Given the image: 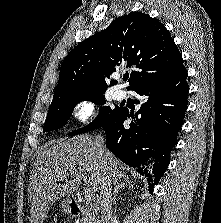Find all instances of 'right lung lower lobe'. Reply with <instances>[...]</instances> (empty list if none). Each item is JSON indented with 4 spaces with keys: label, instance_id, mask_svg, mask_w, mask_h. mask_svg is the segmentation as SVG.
Wrapping results in <instances>:
<instances>
[{
    "label": "right lung lower lobe",
    "instance_id": "98d812e1",
    "mask_svg": "<svg viewBox=\"0 0 221 223\" xmlns=\"http://www.w3.org/2000/svg\"><path fill=\"white\" fill-rule=\"evenodd\" d=\"M141 97L137 113L120 110L102 128L107 148L120 160L148 176L150 190L167 170L170 151L187 110V70L162 80L140 84L132 89ZM129 126H124L126 119ZM154 182V183H153Z\"/></svg>",
    "mask_w": 221,
    "mask_h": 223
}]
</instances>
